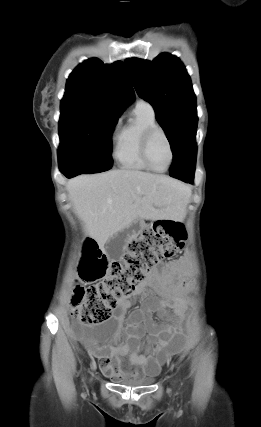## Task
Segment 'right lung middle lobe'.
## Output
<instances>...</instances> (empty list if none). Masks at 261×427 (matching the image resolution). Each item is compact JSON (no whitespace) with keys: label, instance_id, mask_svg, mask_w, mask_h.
Here are the masks:
<instances>
[{"label":"right lung middle lobe","instance_id":"obj_1","mask_svg":"<svg viewBox=\"0 0 261 427\" xmlns=\"http://www.w3.org/2000/svg\"><path fill=\"white\" fill-rule=\"evenodd\" d=\"M118 116L92 111L61 112L59 121V169L96 173L111 169V135Z\"/></svg>","mask_w":261,"mask_h":427}]
</instances>
